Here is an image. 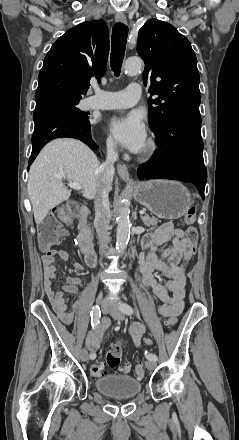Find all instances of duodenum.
<instances>
[{"mask_svg":"<svg viewBox=\"0 0 239 440\" xmlns=\"http://www.w3.org/2000/svg\"><path fill=\"white\" fill-rule=\"evenodd\" d=\"M89 214V208L87 206H82L80 209L79 234L77 241L79 249L84 254L86 264L92 267L96 262V254L93 247L92 232L87 223Z\"/></svg>","mask_w":239,"mask_h":440,"instance_id":"410a0bca","label":"duodenum"}]
</instances>
